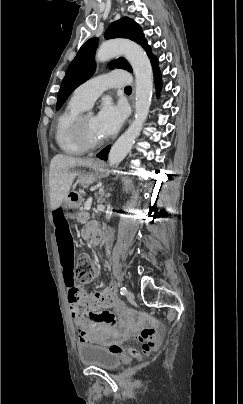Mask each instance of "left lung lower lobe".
Here are the masks:
<instances>
[{"label":"left lung lower lobe","mask_w":243,"mask_h":404,"mask_svg":"<svg viewBox=\"0 0 243 404\" xmlns=\"http://www.w3.org/2000/svg\"><path fill=\"white\" fill-rule=\"evenodd\" d=\"M151 62L153 64L156 88H157V90H159L160 87H161V79H160V71H159V68H158V60L156 59V57H154L151 60ZM109 149H110V146L106 147L99 154H97V157L100 158V159L106 160L107 157H108Z\"/></svg>","instance_id":"1"}]
</instances>
